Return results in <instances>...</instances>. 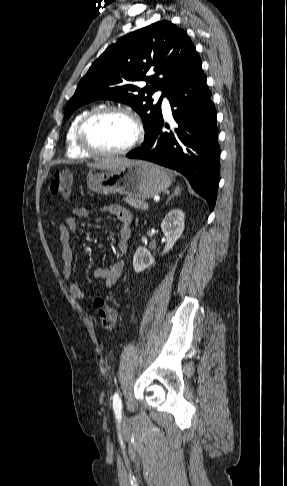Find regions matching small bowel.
<instances>
[{
    "label": "small bowel",
    "instance_id": "c3829d8e",
    "mask_svg": "<svg viewBox=\"0 0 287 486\" xmlns=\"http://www.w3.org/2000/svg\"><path fill=\"white\" fill-rule=\"evenodd\" d=\"M106 210L112 213L119 221V240L117 242V250L120 254H125L128 250V241L131 236L132 214L128 209L118 205L109 206ZM91 216L92 212L88 208H74L71 210V213L65 217L64 222L58 225L59 239L61 243V258L63 261L62 274L70 294L76 300L84 299L85 293L72 279L73 251L70 241L72 234L77 229L76 217L89 219ZM123 268L124 262L119 260L112 263L107 268H97L94 271V276L103 282L106 289H110L121 276Z\"/></svg>",
    "mask_w": 287,
    "mask_h": 486
}]
</instances>
